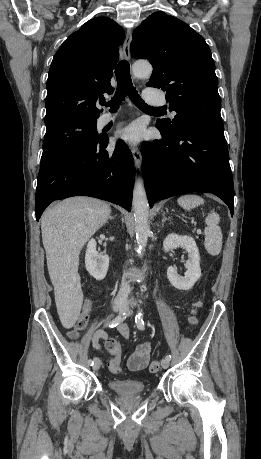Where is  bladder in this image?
I'll return each mask as SVG.
<instances>
[{"mask_svg": "<svg viewBox=\"0 0 261 459\" xmlns=\"http://www.w3.org/2000/svg\"><path fill=\"white\" fill-rule=\"evenodd\" d=\"M107 385L113 393L122 396L138 395L146 391L144 382L134 379H111Z\"/></svg>", "mask_w": 261, "mask_h": 459, "instance_id": "31cf9c89", "label": "bladder"}]
</instances>
